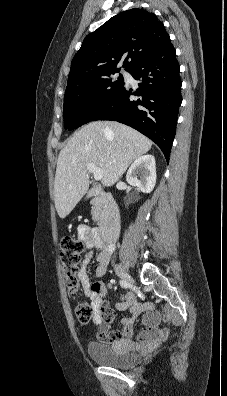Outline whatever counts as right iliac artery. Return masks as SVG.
<instances>
[{
  "instance_id": "82829eb1",
  "label": "right iliac artery",
  "mask_w": 227,
  "mask_h": 396,
  "mask_svg": "<svg viewBox=\"0 0 227 396\" xmlns=\"http://www.w3.org/2000/svg\"><path fill=\"white\" fill-rule=\"evenodd\" d=\"M120 286L122 287V288H124V289H127L128 288V286H129V284L126 282V281H124V280H120Z\"/></svg>"
}]
</instances>
